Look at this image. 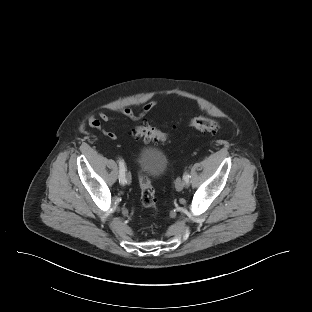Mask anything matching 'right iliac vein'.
Returning <instances> with one entry per match:
<instances>
[{"label":"right iliac vein","mask_w":312,"mask_h":312,"mask_svg":"<svg viewBox=\"0 0 312 312\" xmlns=\"http://www.w3.org/2000/svg\"><path fill=\"white\" fill-rule=\"evenodd\" d=\"M125 180H126V183H130V181H131V175H130V173H126V175H125Z\"/></svg>","instance_id":"1"}]
</instances>
